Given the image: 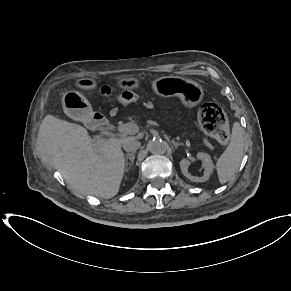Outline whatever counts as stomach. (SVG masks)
Segmentation results:
<instances>
[{
  "mask_svg": "<svg viewBox=\"0 0 291 291\" xmlns=\"http://www.w3.org/2000/svg\"><path fill=\"white\" fill-rule=\"evenodd\" d=\"M86 89H93L97 83L92 78H84L77 83ZM117 85L122 88H136L139 80L133 77L120 78ZM154 92L162 97L177 96L182 103L189 108L197 106L204 97L202 86L193 80L180 76H163L153 81ZM62 105L65 113L75 119H84L92 109L89 102L77 91H68L62 97Z\"/></svg>",
  "mask_w": 291,
  "mask_h": 291,
  "instance_id": "stomach-1",
  "label": "stomach"
}]
</instances>
